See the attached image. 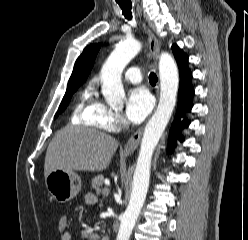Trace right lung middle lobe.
Masks as SVG:
<instances>
[{"label":"right lung middle lobe","mask_w":248,"mask_h":240,"mask_svg":"<svg viewBox=\"0 0 248 240\" xmlns=\"http://www.w3.org/2000/svg\"><path fill=\"white\" fill-rule=\"evenodd\" d=\"M81 84H82V82H80L78 80H71L68 82L66 93H65L63 100L60 104L58 112L55 115V118L59 115V113H61L65 110V108L67 107L73 93L78 89V87Z\"/></svg>","instance_id":"obj_1"}]
</instances>
